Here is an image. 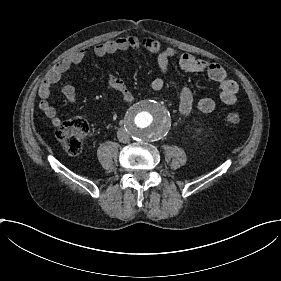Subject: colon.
Wrapping results in <instances>:
<instances>
[{
  "mask_svg": "<svg viewBox=\"0 0 281 281\" xmlns=\"http://www.w3.org/2000/svg\"><path fill=\"white\" fill-rule=\"evenodd\" d=\"M225 120L232 126L242 122V113L239 110H229ZM89 127L84 119H75L62 125L58 130V138L71 154H78L82 149V140L88 134Z\"/></svg>",
  "mask_w": 281,
  "mask_h": 281,
  "instance_id": "5ec220e1",
  "label": "colon"
}]
</instances>
